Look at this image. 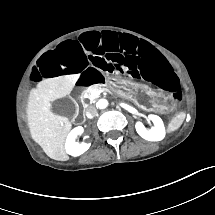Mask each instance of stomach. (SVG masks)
I'll return each mask as SVG.
<instances>
[{
	"mask_svg": "<svg viewBox=\"0 0 215 215\" xmlns=\"http://www.w3.org/2000/svg\"><path fill=\"white\" fill-rule=\"evenodd\" d=\"M133 93V92H132ZM134 97L135 98H142L143 97V94H138L137 92H134Z\"/></svg>",
	"mask_w": 215,
	"mask_h": 215,
	"instance_id": "1",
	"label": "stomach"
}]
</instances>
